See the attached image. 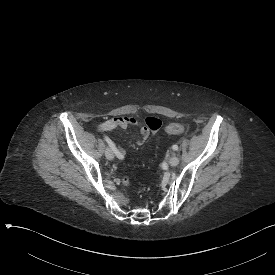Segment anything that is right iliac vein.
I'll return each mask as SVG.
<instances>
[{
  "label": "right iliac vein",
  "mask_w": 275,
  "mask_h": 275,
  "mask_svg": "<svg viewBox=\"0 0 275 275\" xmlns=\"http://www.w3.org/2000/svg\"><path fill=\"white\" fill-rule=\"evenodd\" d=\"M105 155L107 159L113 160L114 159V154L110 148H106Z\"/></svg>",
  "instance_id": "right-iliac-vein-1"
}]
</instances>
